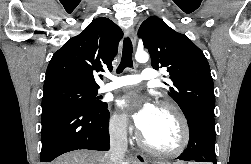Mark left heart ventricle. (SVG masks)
Listing matches in <instances>:
<instances>
[{
  "mask_svg": "<svg viewBox=\"0 0 251 164\" xmlns=\"http://www.w3.org/2000/svg\"><path fill=\"white\" fill-rule=\"evenodd\" d=\"M143 135L155 148L172 149L179 143L180 128L170 112L158 108L151 127Z\"/></svg>",
  "mask_w": 251,
  "mask_h": 164,
  "instance_id": "1",
  "label": "left heart ventricle"
}]
</instances>
